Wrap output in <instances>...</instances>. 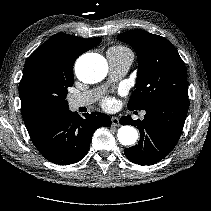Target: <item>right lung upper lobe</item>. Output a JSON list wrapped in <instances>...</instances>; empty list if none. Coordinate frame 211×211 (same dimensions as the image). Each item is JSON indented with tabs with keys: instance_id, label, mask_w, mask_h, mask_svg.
Masks as SVG:
<instances>
[{
	"instance_id": "1",
	"label": "right lung upper lobe",
	"mask_w": 211,
	"mask_h": 211,
	"mask_svg": "<svg viewBox=\"0 0 211 211\" xmlns=\"http://www.w3.org/2000/svg\"><path fill=\"white\" fill-rule=\"evenodd\" d=\"M101 41V38L84 39L64 33L55 34L29 56L23 73L32 63L43 60L62 74L73 76V65L77 57L97 46ZM20 99L22 116L27 130L52 114L34 107L22 95H20Z\"/></svg>"
}]
</instances>
